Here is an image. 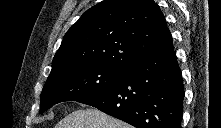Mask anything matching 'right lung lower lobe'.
Masks as SVG:
<instances>
[{"label":"right lung lower lobe","mask_w":221,"mask_h":128,"mask_svg":"<svg viewBox=\"0 0 221 128\" xmlns=\"http://www.w3.org/2000/svg\"><path fill=\"white\" fill-rule=\"evenodd\" d=\"M183 79L173 49L144 58L108 88L78 102L136 128H181Z\"/></svg>","instance_id":"1"}]
</instances>
